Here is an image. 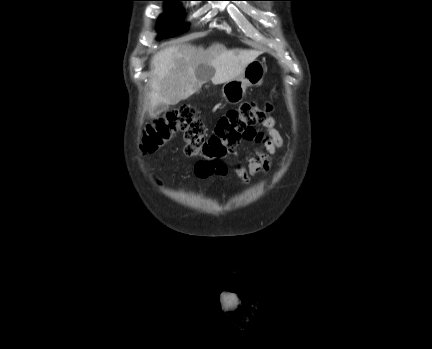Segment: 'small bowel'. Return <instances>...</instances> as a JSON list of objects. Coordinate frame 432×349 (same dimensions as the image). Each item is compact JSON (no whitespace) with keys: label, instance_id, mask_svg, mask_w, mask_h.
<instances>
[{"label":"small bowel","instance_id":"obj_1","mask_svg":"<svg viewBox=\"0 0 432 349\" xmlns=\"http://www.w3.org/2000/svg\"><path fill=\"white\" fill-rule=\"evenodd\" d=\"M275 124V119L270 116L261 122L262 131L253 129L252 136L245 140L255 142L259 147L244 156L242 161L233 162L229 166L224 163L222 170L211 169L205 163L198 161L194 166L196 176L207 179L212 176H224L228 170H231L242 183H247L251 176L265 173L271 166V156L283 146V138Z\"/></svg>","mask_w":432,"mask_h":349}]
</instances>
